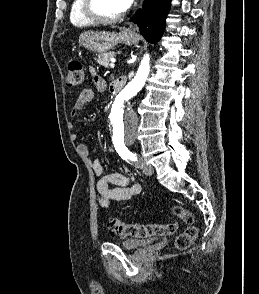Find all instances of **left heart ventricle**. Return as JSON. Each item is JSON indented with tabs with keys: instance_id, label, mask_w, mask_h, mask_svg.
<instances>
[{
	"instance_id": "obj_1",
	"label": "left heart ventricle",
	"mask_w": 259,
	"mask_h": 294,
	"mask_svg": "<svg viewBox=\"0 0 259 294\" xmlns=\"http://www.w3.org/2000/svg\"><path fill=\"white\" fill-rule=\"evenodd\" d=\"M95 10L105 17L117 16L124 11L120 0H95Z\"/></svg>"
}]
</instances>
